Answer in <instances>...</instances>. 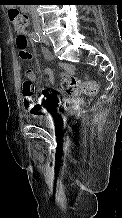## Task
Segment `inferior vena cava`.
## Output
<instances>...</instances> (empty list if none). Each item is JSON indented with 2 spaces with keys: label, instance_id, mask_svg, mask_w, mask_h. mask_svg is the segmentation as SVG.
I'll list each match as a JSON object with an SVG mask.
<instances>
[{
  "label": "inferior vena cava",
  "instance_id": "602c4592",
  "mask_svg": "<svg viewBox=\"0 0 122 218\" xmlns=\"http://www.w3.org/2000/svg\"><path fill=\"white\" fill-rule=\"evenodd\" d=\"M32 22H33L34 28H39L40 27V20H39L37 15L32 16Z\"/></svg>",
  "mask_w": 122,
  "mask_h": 218
}]
</instances>
